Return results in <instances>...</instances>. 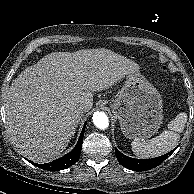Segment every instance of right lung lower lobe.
Instances as JSON below:
<instances>
[{
    "label": "right lung lower lobe",
    "mask_w": 194,
    "mask_h": 194,
    "mask_svg": "<svg viewBox=\"0 0 194 194\" xmlns=\"http://www.w3.org/2000/svg\"><path fill=\"white\" fill-rule=\"evenodd\" d=\"M86 127V123L83 126V129L81 131L79 140L76 144V146L74 147V149L69 152L68 154H66L65 156L56 159L50 163H45V164H38V163H32L33 165L45 169V170H50V171H58V170H63L65 168H68L70 166H72L73 164H75L78 159L79 156L81 154V148H82V143H83V136H84V130ZM31 162V161H29Z\"/></svg>",
    "instance_id": "right-lung-lower-lobe-1"
}]
</instances>
